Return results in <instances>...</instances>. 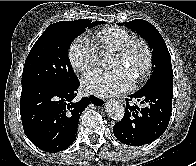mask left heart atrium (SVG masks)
<instances>
[{
  "instance_id": "left-heart-atrium-1",
  "label": "left heart atrium",
  "mask_w": 196,
  "mask_h": 166,
  "mask_svg": "<svg viewBox=\"0 0 196 166\" xmlns=\"http://www.w3.org/2000/svg\"><path fill=\"white\" fill-rule=\"evenodd\" d=\"M85 90L95 95H115L131 89L134 78L123 68L111 71L96 69L82 78Z\"/></svg>"
}]
</instances>
